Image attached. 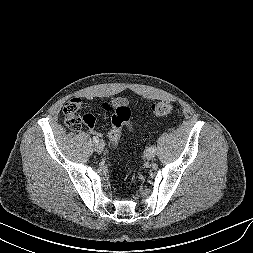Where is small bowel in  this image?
Listing matches in <instances>:
<instances>
[{"label": "small bowel", "instance_id": "c3829d8e", "mask_svg": "<svg viewBox=\"0 0 253 253\" xmlns=\"http://www.w3.org/2000/svg\"><path fill=\"white\" fill-rule=\"evenodd\" d=\"M119 104H128V100L124 99V98H116L114 99L110 104H105L104 108L107 112H112L113 109L119 105ZM89 127V126H88ZM90 128V132L95 134L96 130L94 129V125L89 127Z\"/></svg>", "mask_w": 253, "mask_h": 253}]
</instances>
